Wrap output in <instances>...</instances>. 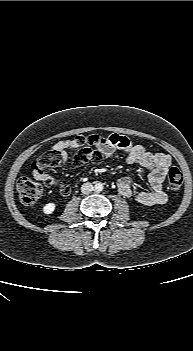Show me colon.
<instances>
[{"mask_svg": "<svg viewBox=\"0 0 193 351\" xmlns=\"http://www.w3.org/2000/svg\"><path fill=\"white\" fill-rule=\"evenodd\" d=\"M80 150L73 156L72 163L75 167H80L88 163H99L103 154L100 148L107 145V138L91 135L79 137L77 140ZM62 163V158L57 152H47L38 157L32 164L34 175H44L45 169L55 167ZM46 175V174H45ZM48 186H53L62 195H68V185L62 181L54 180L47 176L44 181ZM183 182V175L177 167H171L168 170V184L171 189H178ZM17 190L20 200L26 204H34L42 195L43 187L40 183L29 178H20L17 182Z\"/></svg>", "mask_w": 193, "mask_h": 351, "instance_id": "obj_1", "label": "colon"}]
</instances>
